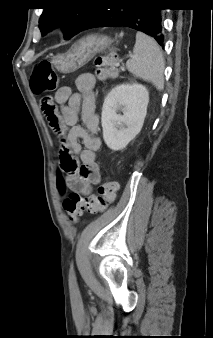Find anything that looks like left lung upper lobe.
Listing matches in <instances>:
<instances>
[{
	"label": "left lung upper lobe",
	"mask_w": 213,
	"mask_h": 338,
	"mask_svg": "<svg viewBox=\"0 0 213 338\" xmlns=\"http://www.w3.org/2000/svg\"><path fill=\"white\" fill-rule=\"evenodd\" d=\"M104 0H46L39 20L42 34L55 26H63L65 38L70 39L79 33L88 18L99 8Z\"/></svg>",
	"instance_id": "5c2ea615"
}]
</instances>
